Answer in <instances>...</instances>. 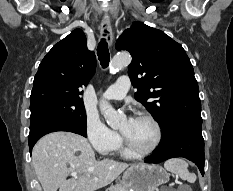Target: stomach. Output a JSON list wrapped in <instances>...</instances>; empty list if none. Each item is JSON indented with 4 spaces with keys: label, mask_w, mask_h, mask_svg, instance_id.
<instances>
[{
    "label": "stomach",
    "mask_w": 233,
    "mask_h": 191,
    "mask_svg": "<svg viewBox=\"0 0 233 191\" xmlns=\"http://www.w3.org/2000/svg\"><path fill=\"white\" fill-rule=\"evenodd\" d=\"M168 180L167 171L160 165L136 164L124 172L120 185L127 191H155Z\"/></svg>",
    "instance_id": "obj_1"
}]
</instances>
